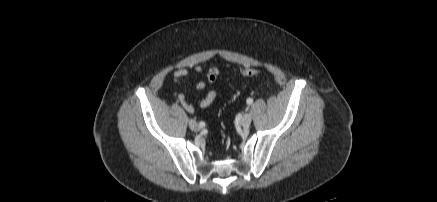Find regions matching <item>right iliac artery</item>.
<instances>
[{
	"instance_id": "obj_1",
	"label": "right iliac artery",
	"mask_w": 437,
	"mask_h": 202,
	"mask_svg": "<svg viewBox=\"0 0 437 202\" xmlns=\"http://www.w3.org/2000/svg\"><path fill=\"white\" fill-rule=\"evenodd\" d=\"M199 125H200V127H204L205 123L204 122H200Z\"/></svg>"
}]
</instances>
